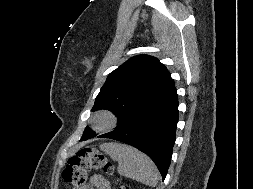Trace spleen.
Instances as JSON below:
<instances>
[{
	"label": "spleen",
	"mask_w": 253,
	"mask_h": 189,
	"mask_svg": "<svg viewBox=\"0 0 253 189\" xmlns=\"http://www.w3.org/2000/svg\"><path fill=\"white\" fill-rule=\"evenodd\" d=\"M100 149L118 162L119 174L149 186L157 185L159 172L153 161L143 152L114 142L101 144Z\"/></svg>",
	"instance_id": "obj_1"
}]
</instances>
